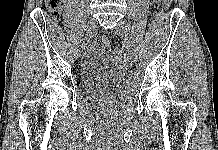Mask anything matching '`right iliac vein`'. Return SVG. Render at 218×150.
<instances>
[{"instance_id": "right-iliac-vein-1", "label": "right iliac vein", "mask_w": 218, "mask_h": 150, "mask_svg": "<svg viewBox=\"0 0 218 150\" xmlns=\"http://www.w3.org/2000/svg\"><path fill=\"white\" fill-rule=\"evenodd\" d=\"M97 22L91 19L86 26V36H92L95 33ZM87 37H82L81 46H86Z\"/></svg>"}]
</instances>
